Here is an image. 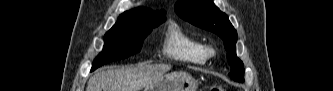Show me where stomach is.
I'll return each instance as SVG.
<instances>
[{
  "instance_id": "0dacf381",
  "label": "stomach",
  "mask_w": 333,
  "mask_h": 91,
  "mask_svg": "<svg viewBox=\"0 0 333 91\" xmlns=\"http://www.w3.org/2000/svg\"><path fill=\"white\" fill-rule=\"evenodd\" d=\"M197 87L198 82L190 74L174 71L144 87V91H196Z\"/></svg>"
}]
</instances>
